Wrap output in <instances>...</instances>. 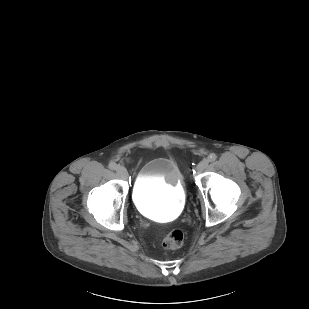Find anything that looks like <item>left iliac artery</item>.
Returning <instances> with one entry per match:
<instances>
[{
    "label": "left iliac artery",
    "mask_w": 309,
    "mask_h": 309,
    "mask_svg": "<svg viewBox=\"0 0 309 309\" xmlns=\"http://www.w3.org/2000/svg\"><path fill=\"white\" fill-rule=\"evenodd\" d=\"M217 158V155L215 153H211L209 156H208V161L209 162H213L215 161Z\"/></svg>",
    "instance_id": "44dca946"
}]
</instances>
